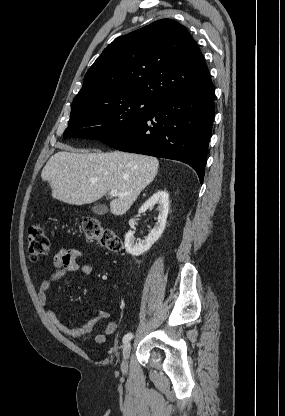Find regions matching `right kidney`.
Returning a JSON list of instances; mask_svg holds the SVG:
<instances>
[{
	"label": "right kidney",
	"instance_id": "ca27d5eb",
	"mask_svg": "<svg viewBox=\"0 0 285 416\" xmlns=\"http://www.w3.org/2000/svg\"><path fill=\"white\" fill-rule=\"evenodd\" d=\"M155 204H159V216L157 218L158 222H156V226H154L153 230H151L149 236H146L145 240H141V242H138V244H135L134 242L136 238H134V232L132 230H129L125 236V248L126 252L128 254H131V256H141V254H144V252H148L149 248L153 246L154 242L160 238L165 226H166V220L168 216V210H169V196L167 192H163V190H159V192H156V194H153L141 208L138 210V214H143V212H146L148 208H151V206H155Z\"/></svg>",
	"mask_w": 285,
	"mask_h": 416
}]
</instances>
